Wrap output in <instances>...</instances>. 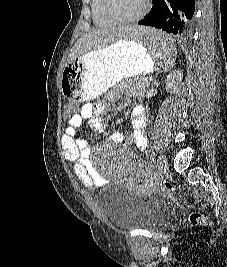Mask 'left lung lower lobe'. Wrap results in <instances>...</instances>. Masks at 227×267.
Segmentation results:
<instances>
[{"mask_svg": "<svg viewBox=\"0 0 227 267\" xmlns=\"http://www.w3.org/2000/svg\"><path fill=\"white\" fill-rule=\"evenodd\" d=\"M153 6L150 12L138 22L140 25L153 26L180 39L189 36L193 25V14L195 0H152ZM170 39L163 40L164 43L172 42ZM161 40L157 41L161 43Z\"/></svg>", "mask_w": 227, "mask_h": 267, "instance_id": "0a47b994", "label": "left lung lower lobe"}]
</instances>
